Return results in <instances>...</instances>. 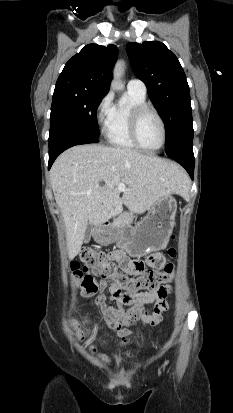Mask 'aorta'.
Masks as SVG:
<instances>
[{
    "instance_id": "obj_1",
    "label": "aorta",
    "mask_w": 233,
    "mask_h": 413,
    "mask_svg": "<svg viewBox=\"0 0 233 413\" xmlns=\"http://www.w3.org/2000/svg\"><path fill=\"white\" fill-rule=\"evenodd\" d=\"M123 70H124L123 62L116 63V65L114 67V71H113V80H112V83H111L112 87H114L116 89L122 88V84L120 83V78L123 74Z\"/></svg>"
}]
</instances>
